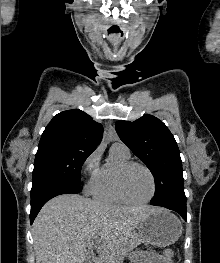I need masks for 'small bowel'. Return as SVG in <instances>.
<instances>
[{
    "label": "small bowel",
    "mask_w": 220,
    "mask_h": 263,
    "mask_svg": "<svg viewBox=\"0 0 220 263\" xmlns=\"http://www.w3.org/2000/svg\"><path fill=\"white\" fill-rule=\"evenodd\" d=\"M139 263H173L171 261L166 260L164 257L148 253L141 257Z\"/></svg>",
    "instance_id": "small-bowel-1"
}]
</instances>
